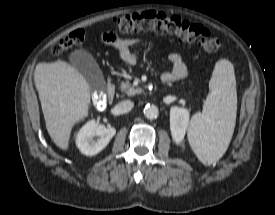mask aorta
I'll return each instance as SVG.
<instances>
[{"instance_id":"1","label":"aorta","mask_w":275,"mask_h":215,"mask_svg":"<svg viewBox=\"0 0 275 215\" xmlns=\"http://www.w3.org/2000/svg\"><path fill=\"white\" fill-rule=\"evenodd\" d=\"M143 112L148 119H154L158 116L159 109L155 105H146Z\"/></svg>"}]
</instances>
